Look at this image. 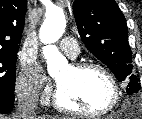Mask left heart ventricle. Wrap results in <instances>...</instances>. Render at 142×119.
<instances>
[{
  "mask_svg": "<svg viewBox=\"0 0 142 119\" xmlns=\"http://www.w3.org/2000/svg\"><path fill=\"white\" fill-rule=\"evenodd\" d=\"M56 80L61 101L71 108L98 111L111 99L110 83L98 70L76 72L68 66L56 76Z\"/></svg>",
  "mask_w": 142,
  "mask_h": 119,
  "instance_id": "obj_1",
  "label": "left heart ventricle"
}]
</instances>
